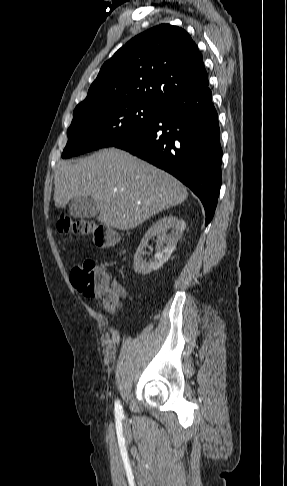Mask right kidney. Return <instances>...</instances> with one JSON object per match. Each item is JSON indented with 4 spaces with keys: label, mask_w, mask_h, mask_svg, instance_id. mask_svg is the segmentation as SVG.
<instances>
[{
    "label": "right kidney",
    "mask_w": 287,
    "mask_h": 486,
    "mask_svg": "<svg viewBox=\"0 0 287 486\" xmlns=\"http://www.w3.org/2000/svg\"><path fill=\"white\" fill-rule=\"evenodd\" d=\"M185 227L186 223L182 219L172 215L163 217L153 224L136 250L133 263L134 271L146 275L158 270L170 258ZM170 229L171 233L167 234ZM155 236L158 238L156 253L154 258L147 262L142 258L144 248L148 246L149 240Z\"/></svg>",
    "instance_id": "1"
}]
</instances>
